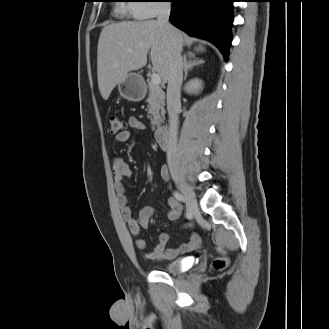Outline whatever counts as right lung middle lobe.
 <instances>
[{
    "instance_id": "dd1d6c3e",
    "label": "right lung middle lobe",
    "mask_w": 329,
    "mask_h": 329,
    "mask_svg": "<svg viewBox=\"0 0 329 329\" xmlns=\"http://www.w3.org/2000/svg\"><path fill=\"white\" fill-rule=\"evenodd\" d=\"M102 1H110V0H102Z\"/></svg>"
}]
</instances>
